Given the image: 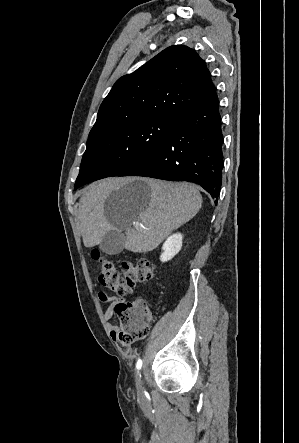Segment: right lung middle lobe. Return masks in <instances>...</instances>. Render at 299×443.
<instances>
[{"instance_id": "right-lung-middle-lobe-1", "label": "right lung middle lobe", "mask_w": 299, "mask_h": 443, "mask_svg": "<svg viewBox=\"0 0 299 443\" xmlns=\"http://www.w3.org/2000/svg\"><path fill=\"white\" fill-rule=\"evenodd\" d=\"M175 126L173 117L145 118L89 137L74 187L118 176L152 153Z\"/></svg>"}]
</instances>
